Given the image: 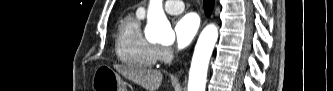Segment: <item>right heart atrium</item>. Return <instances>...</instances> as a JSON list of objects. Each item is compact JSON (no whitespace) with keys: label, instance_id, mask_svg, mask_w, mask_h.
Returning <instances> with one entry per match:
<instances>
[{"label":"right heart atrium","instance_id":"d8ad5b80","mask_svg":"<svg viewBox=\"0 0 333 91\" xmlns=\"http://www.w3.org/2000/svg\"><path fill=\"white\" fill-rule=\"evenodd\" d=\"M174 52L169 46L157 47V60L161 62H168L172 59Z\"/></svg>","mask_w":333,"mask_h":91}]
</instances>
